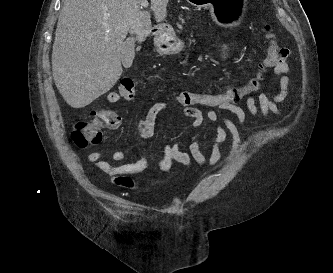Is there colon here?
Returning a JSON list of instances; mask_svg holds the SVG:
<instances>
[{
  "mask_svg": "<svg viewBox=\"0 0 333 273\" xmlns=\"http://www.w3.org/2000/svg\"><path fill=\"white\" fill-rule=\"evenodd\" d=\"M265 35L268 40L267 53L261 60L258 71L246 85L233 87L219 94L183 91L175 97V101L185 107H204L207 109L227 108L242 104L248 95L259 91L267 70L274 68L281 55L282 48L278 46L269 25L265 26ZM118 92L126 98H132L135 92L134 82L131 79L122 80ZM115 122L116 118L111 113L104 110L97 111L91 119L77 123L72 132V139L81 148L97 144L102 139L103 129Z\"/></svg>",
  "mask_w": 333,
  "mask_h": 273,
  "instance_id": "colon-1",
  "label": "colon"
}]
</instances>
